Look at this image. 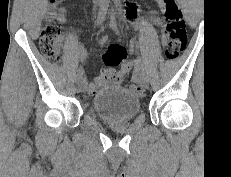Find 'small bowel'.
<instances>
[{"label":"small bowel","instance_id":"1","mask_svg":"<svg viewBox=\"0 0 231 177\" xmlns=\"http://www.w3.org/2000/svg\"><path fill=\"white\" fill-rule=\"evenodd\" d=\"M157 1L160 4H163V0H157ZM56 3L53 5L51 4L50 9L53 13H55L57 20L61 23H64L66 21V11L64 8L57 9ZM125 4L127 7V13L129 19L133 22H136L137 12H138L137 5L133 3L132 0H125ZM151 21L156 22L157 19L151 18ZM104 41H106V38H104ZM163 43H165V40H163ZM75 50L81 58H84L86 56L85 50L80 45L76 44ZM110 66H116V65H110ZM117 66L119 67L118 70H115L114 67L101 70L100 74L96 77V79L88 85V92L90 94H95L98 91V89L102 86H107L111 84H116V85L123 84L128 77L132 63L123 61L119 63Z\"/></svg>","mask_w":231,"mask_h":177}]
</instances>
